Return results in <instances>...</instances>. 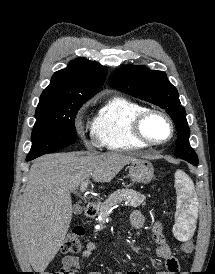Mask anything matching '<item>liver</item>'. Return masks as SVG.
Listing matches in <instances>:
<instances>
[{
    "label": "liver",
    "mask_w": 215,
    "mask_h": 274,
    "mask_svg": "<svg viewBox=\"0 0 215 274\" xmlns=\"http://www.w3.org/2000/svg\"><path fill=\"white\" fill-rule=\"evenodd\" d=\"M135 158L118 152L55 153L35 160L14 217L15 243L43 273L63 244L72 219L71 192L92 176L108 183Z\"/></svg>",
    "instance_id": "liver-1"
}]
</instances>
